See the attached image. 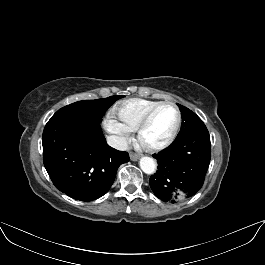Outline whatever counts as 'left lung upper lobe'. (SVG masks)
I'll return each instance as SVG.
<instances>
[{
	"instance_id": "1",
	"label": "left lung upper lobe",
	"mask_w": 265,
	"mask_h": 265,
	"mask_svg": "<svg viewBox=\"0 0 265 265\" xmlns=\"http://www.w3.org/2000/svg\"><path fill=\"white\" fill-rule=\"evenodd\" d=\"M177 105L179 106L182 115V125L178 135L185 134L193 129H196L199 126L205 125L202 120L190 109L180 104Z\"/></svg>"
}]
</instances>
